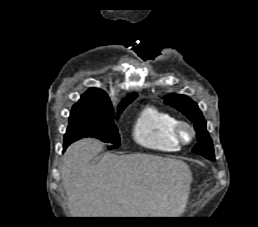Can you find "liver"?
Masks as SVG:
<instances>
[{
  "instance_id": "1",
  "label": "liver",
  "mask_w": 258,
  "mask_h": 227,
  "mask_svg": "<svg viewBox=\"0 0 258 227\" xmlns=\"http://www.w3.org/2000/svg\"><path fill=\"white\" fill-rule=\"evenodd\" d=\"M91 138L68 147L61 167L62 185L73 217H175L189 196L192 173L181 161L147 154H105Z\"/></svg>"
}]
</instances>
